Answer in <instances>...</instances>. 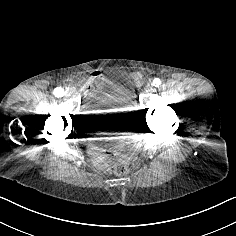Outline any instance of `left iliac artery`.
<instances>
[{
  "mask_svg": "<svg viewBox=\"0 0 236 236\" xmlns=\"http://www.w3.org/2000/svg\"><path fill=\"white\" fill-rule=\"evenodd\" d=\"M160 84H161V81H160L159 78H155V79L153 80V84H152L153 86L159 87Z\"/></svg>",
  "mask_w": 236,
  "mask_h": 236,
  "instance_id": "1",
  "label": "left iliac artery"
}]
</instances>
